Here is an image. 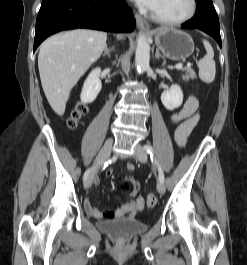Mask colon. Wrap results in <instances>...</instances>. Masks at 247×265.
Masks as SVG:
<instances>
[{
	"label": "colon",
	"instance_id": "colon-1",
	"mask_svg": "<svg viewBox=\"0 0 247 265\" xmlns=\"http://www.w3.org/2000/svg\"><path fill=\"white\" fill-rule=\"evenodd\" d=\"M88 113V107L85 104H78L74 111L72 112V115L70 117V119L68 120V126L70 128H75L78 126L79 122L81 121V119ZM126 189L132 193H136L139 189V185L135 180H129L126 184ZM157 197L155 194L150 193L147 195L146 197V205L149 208H153L156 206L157 204Z\"/></svg>",
	"mask_w": 247,
	"mask_h": 265
}]
</instances>
